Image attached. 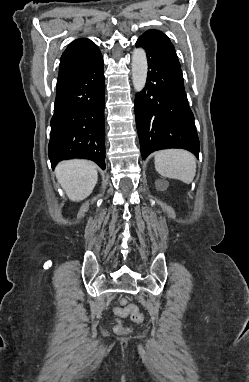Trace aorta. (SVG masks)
<instances>
[{
	"label": "aorta",
	"instance_id": "aorta-1",
	"mask_svg": "<svg viewBox=\"0 0 249 382\" xmlns=\"http://www.w3.org/2000/svg\"><path fill=\"white\" fill-rule=\"evenodd\" d=\"M132 82L136 92H141L146 84L148 63L143 48H136L132 54Z\"/></svg>",
	"mask_w": 249,
	"mask_h": 382
}]
</instances>
